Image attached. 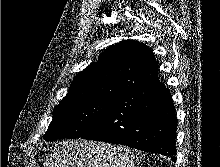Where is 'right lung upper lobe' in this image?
<instances>
[{
  "mask_svg": "<svg viewBox=\"0 0 220 167\" xmlns=\"http://www.w3.org/2000/svg\"><path fill=\"white\" fill-rule=\"evenodd\" d=\"M158 64L148 46L126 40L109 46L97 62L75 76L63 99L117 97L159 80Z\"/></svg>",
  "mask_w": 220,
  "mask_h": 167,
  "instance_id": "right-lung-upper-lobe-1",
  "label": "right lung upper lobe"
}]
</instances>
